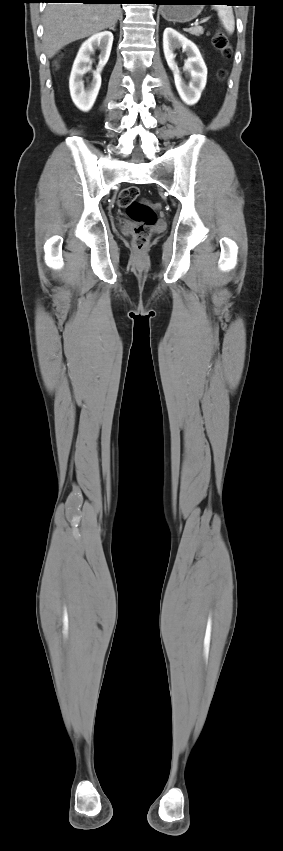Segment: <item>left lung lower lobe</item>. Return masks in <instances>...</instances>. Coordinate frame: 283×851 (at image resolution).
Returning <instances> with one entry per match:
<instances>
[{"label":"left lung lower lobe","instance_id":"obj_1","mask_svg":"<svg viewBox=\"0 0 283 851\" xmlns=\"http://www.w3.org/2000/svg\"><path fill=\"white\" fill-rule=\"evenodd\" d=\"M170 1L171 0H151V2L153 4H156V5H164V4L170 3ZM205 1L212 2V3H217V2L218 3H233L235 0H204V2ZM227 5L232 6L234 4H227Z\"/></svg>","mask_w":283,"mask_h":851}]
</instances>
